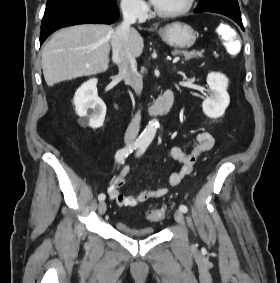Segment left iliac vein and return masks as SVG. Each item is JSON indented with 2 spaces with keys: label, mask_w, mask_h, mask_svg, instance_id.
Wrapping results in <instances>:
<instances>
[{
  "label": "left iliac vein",
  "mask_w": 280,
  "mask_h": 283,
  "mask_svg": "<svg viewBox=\"0 0 280 283\" xmlns=\"http://www.w3.org/2000/svg\"><path fill=\"white\" fill-rule=\"evenodd\" d=\"M174 218L180 226L185 227V219L181 211H175Z\"/></svg>",
  "instance_id": "4c4485c4"
}]
</instances>
